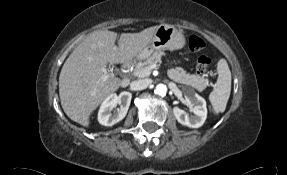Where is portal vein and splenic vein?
I'll use <instances>...</instances> for the list:
<instances>
[{
	"label": "portal vein and splenic vein",
	"mask_w": 287,
	"mask_h": 175,
	"mask_svg": "<svg viewBox=\"0 0 287 175\" xmlns=\"http://www.w3.org/2000/svg\"><path fill=\"white\" fill-rule=\"evenodd\" d=\"M156 68V64H152L151 66H149L148 68L141 70V71H134L133 75L137 76V77H146L149 76L151 73V70ZM108 76V75H106Z\"/></svg>",
	"instance_id": "1"
}]
</instances>
